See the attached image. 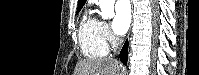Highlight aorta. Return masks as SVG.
Returning <instances> with one entry per match:
<instances>
[{
	"label": "aorta",
	"mask_w": 199,
	"mask_h": 75,
	"mask_svg": "<svg viewBox=\"0 0 199 75\" xmlns=\"http://www.w3.org/2000/svg\"><path fill=\"white\" fill-rule=\"evenodd\" d=\"M115 0H99L101 16L103 19L113 18Z\"/></svg>",
	"instance_id": "762f6f07"
}]
</instances>
